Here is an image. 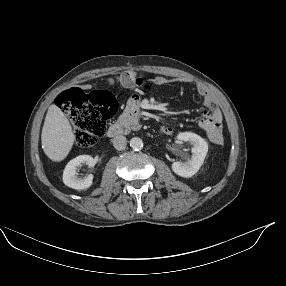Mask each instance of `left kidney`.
<instances>
[{
  "instance_id": "1",
  "label": "left kidney",
  "mask_w": 286,
  "mask_h": 286,
  "mask_svg": "<svg viewBox=\"0 0 286 286\" xmlns=\"http://www.w3.org/2000/svg\"><path fill=\"white\" fill-rule=\"evenodd\" d=\"M177 138L181 141L192 144V155L185 162L175 161L172 163V170L177 175L189 178L198 172L208 152L207 142L199 135L191 132L180 133Z\"/></svg>"
}]
</instances>
